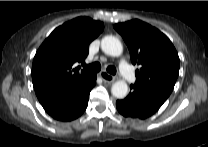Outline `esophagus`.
<instances>
[{"label":"esophagus","mask_w":208,"mask_h":147,"mask_svg":"<svg viewBox=\"0 0 208 147\" xmlns=\"http://www.w3.org/2000/svg\"><path fill=\"white\" fill-rule=\"evenodd\" d=\"M100 77L103 79V81H105L107 83H113L116 80V78L114 76L108 74L105 71L100 73Z\"/></svg>","instance_id":"esophagus-1"}]
</instances>
